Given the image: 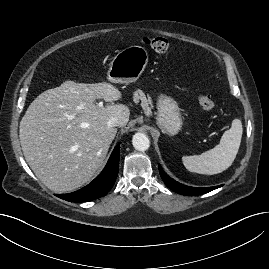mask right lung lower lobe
I'll return each instance as SVG.
<instances>
[{"instance_id": "98d812e1", "label": "right lung lower lobe", "mask_w": 269, "mask_h": 269, "mask_svg": "<svg viewBox=\"0 0 269 269\" xmlns=\"http://www.w3.org/2000/svg\"><path fill=\"white\" fill-rule=\"evenodd\" d=\"M119 154L120 145L118 144L104 170L90 184L78 191L69 194H57V196L70 202H86L106 195L113 187L118 175Z\"/></svg>"}]
</instances>
